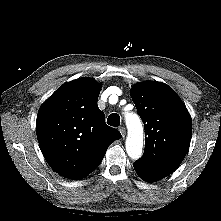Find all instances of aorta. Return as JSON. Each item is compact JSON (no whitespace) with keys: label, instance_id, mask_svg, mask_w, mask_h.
<instances>
[{"label":"aorta","instance_id":"762f6f07","mask_svg":"<svg viewBox=\"0 0 221 221\" xmlns=\"http://www.w3.org/2000/svg\"><path fill=\"white\" fill-rule=\"evenodd\" d=\"M128 136L126 139V152L128 156L137 160L142 155L143 148V127L137 114L127 113L125 115Z\"/></svg>","mask_w":221,"mask_h":221}]
</instances>
